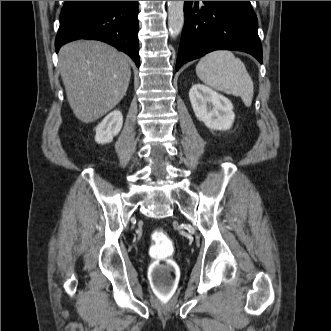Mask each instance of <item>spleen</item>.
Returning <instances> with one entry per match:
<instances>
[{
    "label": "spleen",
    "instance_id": "obj_1",
    "mask_svg": "<svg viewBox=\"0 0 331 331\" xmlns=\"http://www.w3.org/2000/svg\"><path fill=\"white\" fill-rule=\"evenodd\" d=\"M197 76L208 86L234 96H240L250 107L254 94L253 81L244 63L228 50L206 54L196 66Z\"/></svg>",
    "mask_w": 331,
    "mask_h": 331
}]
</instances>
